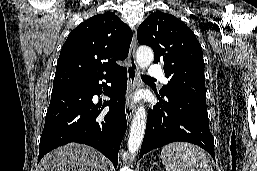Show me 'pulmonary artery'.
<instances>
[{
    "label": "pulmonary artery",
    "mask_w": 257,
    "mask_h": 171,
    "mask_svg": "<svg viewBox=\"0 0 257 171\" xmlns=\"http://www.w3.org/2000/svg\"><path fill=\"white\" fill-rule=\"evenodd\" d=\"M148 75L151 78H159L163 83H167V79L164 76V73L161 67L157 64H151L148 70Z\"/></svg>",
    "instance_id": "e3ab8cb5"
}]
</instances>
